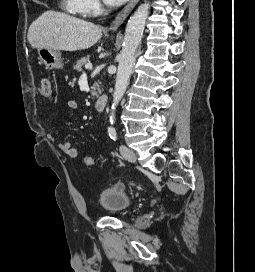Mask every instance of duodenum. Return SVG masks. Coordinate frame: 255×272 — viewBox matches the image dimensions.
Returning <instances> with one entry per match:
<instances>
[{"label": "duodenum", "mask_w": 255, "mask_h": 272, "mask_svg": "<svg viewBox=\"0 0 255 272\" xmlns=\"http://www.w3.org/2000/svg\"><path fill=\"white\" fill-rule=\"evenodd\" d=\"M107 103H108V96L103 94L99 96L97 100L95 101V109L98 112H102L105 109Z\"/></svg>", "instance_id": "obj_1"}]
</instances>
